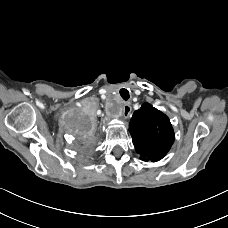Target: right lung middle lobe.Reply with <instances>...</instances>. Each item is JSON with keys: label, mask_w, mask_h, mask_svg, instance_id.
Listing matches in <instances>:
<instances>
[{"label": "right lung middle lobe", "mask_w": 228, "mask_h": 228, "mask_svg": "<svg viewBox=\"0 0 228 228\" xmlns=\"http://www.w3.org/2000/svg\"><path fill=\"white\" fill-rule=\"evenodd\" d=\"M72 132L79 139L81 145H86L88 137L91 134L90 124L80 119H77Z\"/></svg>", "instance_id": "obj_1"}]
</instances>
